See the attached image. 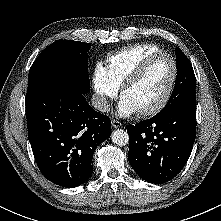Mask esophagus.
<instances>
[{"instance_id": "34e87169", "label": "esophagus", "mask_w": 221, "mask_h": 221, "mask_svg": "<svg viewBox=\"0 0 221 221\" xmlns=\"http://www.w3.org/2000/svg\"><path fill=\"white\" fill-rule=\"evenodd\" d=\"M111 123L114 128H120L122 126V124L115 119H112Z\"/></svg>"}]
</instances>
